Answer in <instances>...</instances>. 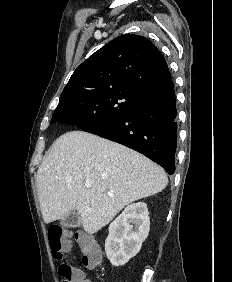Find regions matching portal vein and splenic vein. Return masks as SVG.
Instances as JSON below:
<instances>
[{"instance_id": "portal-vein-and-splenic-vein-1", "label": "portal vein and splenic vein", "mask_w": 232, "mask_h": 282, "mask_svg": "<svg viewBox=\"0 0 232 282\" xmlns=\"http://www.w3.org/2000/svg\"><path fill=\"white\" fill-rule=\"evenodd\" d=\"M85 186H86L87 188H90V187H91L90 184H85Z\"/></svg>"}]
</instances>
